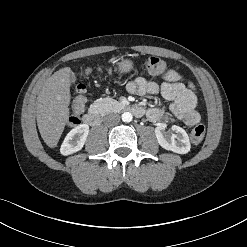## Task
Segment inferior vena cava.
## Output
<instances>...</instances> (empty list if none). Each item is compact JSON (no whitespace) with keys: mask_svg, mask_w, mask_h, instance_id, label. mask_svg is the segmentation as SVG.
I'll list each match as a JSON object with an SVG mask.
<instances>
[{"mask_svg":"<svg viewBox=\"0 0 247 247\" xmlns=\"http://www.w3.org/2000/svg\"><path fill=\"white\" fill-rule=\"evenodd\" d=\"M120 122V116L118 114H109L104 118V123L109 126L116 125Z\"/></svg>","mask_w":247,"mask_h":247,"instance_id":"obj_1","label":"inferior vena cava"}]
</instances>
